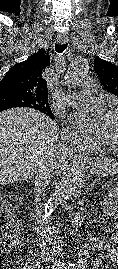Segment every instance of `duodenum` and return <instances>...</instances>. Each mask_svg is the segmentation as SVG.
I'll return each mask as SVG.
<instances>
[{
    "label": "duodenum",
    "instance_id": "410a0bca",
    "mask_svg": "<svg viewBox=\"0 0 118 269\" xmlns=\"http://www.w3.org/2000/svg\"><path fill=\"white\" fill-rule=\"evenodd\" d=\"M83 219L82 213H77L71 221V227L76 228L80 225Z\"/></svg>",
    "mask_w": 118,
    "mask_h": 269
}]
</instances>
